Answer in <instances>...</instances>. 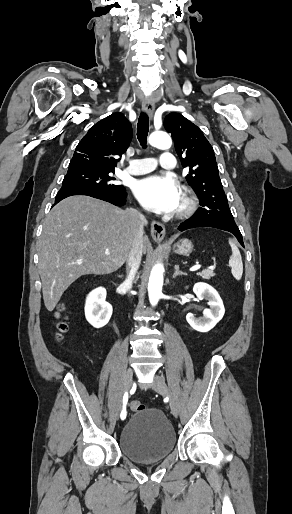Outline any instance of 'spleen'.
I'll use <instances>...</instances> for the list:
<instances>
[{"instance_id":"obj_1","label":"spleen","mask_w":292,"mask_h":514,"mask_svg":"<svg viewBox=\"0 0 292 514\" xmlns=\"http://www.w3.org/2000/svg\"><path fill=\"white\" fill-rule=\"evenodd\" d=\"M229 244L232 250V256H230L229 266H231L232 276L236 278V280H241L243 274V262L241 258V254L234 242L229 240Z\"/></svg>"}]
</instances>
